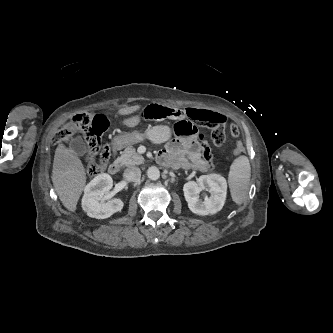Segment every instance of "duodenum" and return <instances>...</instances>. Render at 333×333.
<instances>
[{
    "mask_svg": "<svg viewBox=\"0 0 333 333\" xmlns=\"http://www.w3.org/2000/svg\"><path fill=\"white\" fill-rule=\"evenodd\" d=\"M118 148L117 146H112V154L115 155L116 152H117ZM120 170V165L118 163L117 160H114L112 161V163L109 165L108 167V172L111 174V175H115L119 172Z\"/></svg>",
    "mask_w": 333,
    "mask_h": 333,
    "instance_id": "duodenum-1",
    "label": "duodenum"
}]
</instances>
